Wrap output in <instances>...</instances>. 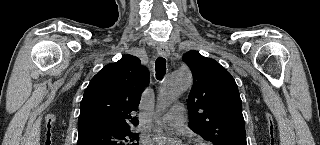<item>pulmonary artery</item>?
Instances as JSON below:
<instances>
[{"instance_id":"e3ab8cb5","label":"pulmonary artery","mask_w":320,"mask_h":145,"mask_svg":"<svg viewBox=\"0 0 320 145\" xmlns=\"http://www.w3.org/2000/svg\"><path fill=\"white\" fill-rule=\"evenodd\" d=\"M185 122V107L183 105L173 106L169 112L161 116L158 123L170 127H179Z\"/></svg>"}]
</instances>
